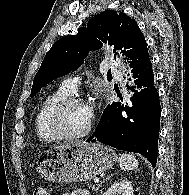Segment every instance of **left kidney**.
I'll return each mask as SVG.
<instances>
[{
    "label": "left kidney",
    "mask_w": 189,
    "mask_h": 195,
    "mask_svg": "<svg viewBox=\"0 0 189 195\" xmlns=\"http://www.w3.org/2000/svg\"><path fill=\"white\" fill-rule=\"evenodd\" d=\"M104 195H134L133 187L130 182L122 180L111 185Z\"/></svg>",
    "instance_id": "5707ae66"
}]
</instances>
